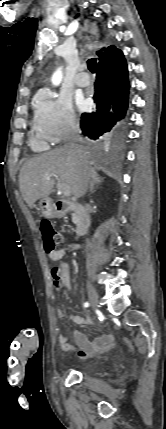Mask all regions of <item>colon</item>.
Returning <instances> with one entry per match:
<instances>
[{
    "instance_id": "obj_1",
    "label": "colon",
    "mask_w": 166,
    "mask_h": 429,
    "mask_svg": "<svg viewBox=\"0 0 166 429\" xmlns=\"http://www.w3.org/2000/svg\"><path fill=\"white\" fill-rule=\"evenodd\" d=\"M40 232L44 249L47 253L55 251L63 241L62 235L58 233L47 220L41 222Z\"/></svg>"
}]
</instances>
